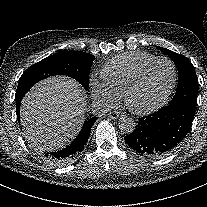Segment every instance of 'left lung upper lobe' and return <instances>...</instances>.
I'll list each match as a JSON object with an SVG mask.
<instances>
[{"label":"left lung upper lobe","mask_w":207,"mask_h":207,"mask_svg":"<svg viewBox=\"0 0 207 207\" xmlns=\"http://www.w3.org/2000/svg\"><path fill=\"white\" fill-rule=\"evenodd\" d=\"M156 48L168 55L178 68L179 78L176 93L168 105L183 104L195 110L197 106L198 81L194 66L184 55L163 47L156 46Z\"/></svg>","instance_id":"left-lung-upper-lobe-1"}]
</instances>
